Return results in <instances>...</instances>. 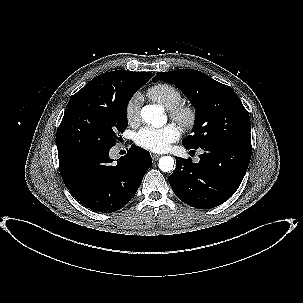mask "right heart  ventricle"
I'll use <instances>...</instances> for the list:
<instances>
[{"instance_id": "1", "label": "right heart ventricle", "mask_w": 303, "mask_h": 303, "mask_svg": "<svg viewBox=\"0 0 303 303\" xmlns=\"http://www.w3.org/2000/svg\"><path fill=\"white\" fill-rule=\"evenodd\" d=\"M150 99L170 110L183 101L181 92L174 86L166 83L156 84L147 91Z\"/></svg>"}]
</instances>
